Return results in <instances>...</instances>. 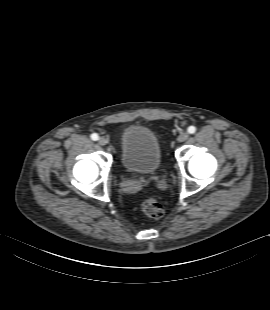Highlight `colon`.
Returning a JSON list of instances; mask_svg holds the SVG:
<instances>
[{"label":"colon","mask_w":270,"mask_h":310,"mask_svg":"<svg viewBox=\"0 0 270 310\" xmlns=\"http://www.w3.org/2000/svg\"><path fill=\"white\" fill-rule=\"evenodd\" d=\"M141 211L148 217L158 219L164 215L163 205L154 198H146L141 202Z\"/></svg>","instance_id":"colon-1"}]
</instances>
